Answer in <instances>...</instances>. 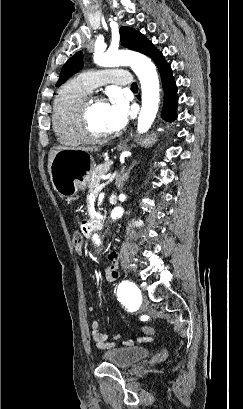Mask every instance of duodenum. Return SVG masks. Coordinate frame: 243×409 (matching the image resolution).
<instances>
[{"mask_svg":"<svg viewBox=\"0 0 243 409\" xmlns=\"http://www.w3.org/2000/svg\"><path fill=\"white\" fill-rule=\"evenodd\" d=\"M88 227L93 231H99L102 229V223L99 220H94L88 224Z\"/></svg>","mask_w":243,"mask_h":409,"instance_id":"410a0bca","label":"duodenum"}]
</instances>
